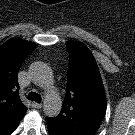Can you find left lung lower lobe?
Segmentation results:
<instances>
[{
  "mask_svg": "<svg viewBox=\"0 0 135 135\" xmlns=\"http://www.w3.org/2000/svg\"><path fill=\"white\" fill-rule=\"evenodd\" d=\"M48 131H49V134H50V135H57V134H55V133L50 129V127H48Z\"/></svg>",
  "mask_w": 135,
  "mask_h": 135,
  "instance_id": "0a47b994",
  "label": "left lung lower lobe"
}]
</instances>
